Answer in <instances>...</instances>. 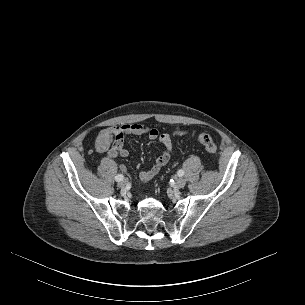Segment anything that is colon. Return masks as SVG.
<instances>
[{"instance_id": "1", "label": "colon", "mask_w": 305, "mask_h": 305, "mask_svg": "<svg viewBox=\"0 0 305 305\" xmlns=\"http://www.w3.org/2000/svg\"><path fill=\"white\" fill-rule=\"evenodd\" d=\"M199 142L206 148L210 154H215L217 147L212 137L207 133H201L198 135Z\"/></svg>"}]
</instances>
